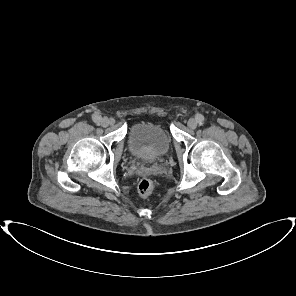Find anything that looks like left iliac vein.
I'll return each mask as SVG.
<instances>
[{
  "label": "left iliac vein",
  "mask_w": 296,
  "mask_h": 296,
  "mask_svg": "<svg viewBox=\"0 0 296 296\" xmlns=\"http://www.w3.org/2000/svg\"><path fill=\"white\" fill-rule=\"evenodd\" d=\"M188 127L190 129H195L197 127V121L195 119H190L188 121Z\"/></svg>",
  "instance_id": "left-iliac-vein-1"
}]
</instances>
